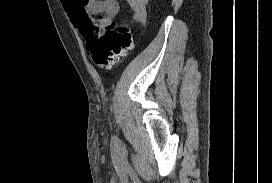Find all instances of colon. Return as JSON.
<instances>
[{
    "label": "colon",
    "mask_w": 272,
    "mask_h": 183,
    "mask_svg": "<svg viewBox=\"0 0 272 183\" xmlns=\"http://www.w3.org/2000/svg\"><path fill=\"white\" fill-rule=\"evenodd\" d=\"M132 46L133 38L129 28L113 23L103 35L89 41L88 52L98 67L111 70Z\"/></svg>",
    "instance_id": "1"
}]
</instances>
